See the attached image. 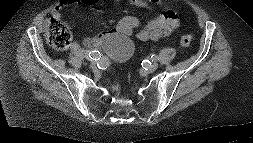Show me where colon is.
I'll list each match as a JSON object with an SVG mask.
<instances>
[{
	"label": "colon",
	"instance_id": "obj_1",
	"mask_svg": "<svg viewBox=\"0 0 253 143\" xmlns=\"http://www.w3.org/2000/svg\"><path fill=\"white\" fill-rule=\"evenodd\" d=\"M45 36L48 43L58 51L66 50L72 41V33L69 27L54 16L50 17L46 22ZM191 42V35H183L180 39L182 46H188Z\"/></svg>",
	"mask_w": 253,
	"mask_h": 143
}]
</instances>
